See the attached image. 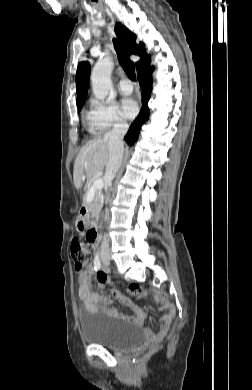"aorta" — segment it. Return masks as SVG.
I'll use <instances>...</instances> for the list:
<instances>
[{
  "label": "aorta",
  "instance_id": "obj_1",
  "mask_svg": "<svg viewBox=\"0 0 252 390\" xmlns=\"http://www.w3.org/2000/svg\"><path fill=\"white\" fill-rule=\"evenodd\" d=\"M113 64L109 58L100 59L91 73L93 94L97 99L104 100L112 88L111 73Z\"/></svg>",
  "mask_w": 252,
  "mask_h": 390
}]
</instances>
